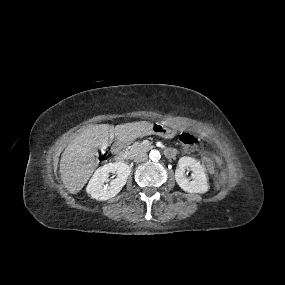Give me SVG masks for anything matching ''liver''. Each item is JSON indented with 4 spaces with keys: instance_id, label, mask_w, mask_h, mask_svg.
Wrapping results in <instances>:
<instances>
[{
    "instance_id": "1",
    "label": "liver",
    "mask_w": 285,
    "mask_h": 285,
    "mask_svg": "<svg viewBox=\"0 0 285 285\" xmlns=\"http://www.w3.org/2000/svg\"><path fill=\"white\" fill-rule=\"evenodd\" d=\"M152 128L148 121H137L113 127L109 124L90 125L76 135L65 148L60 159V178L71 194L85 185L98 161L94 150L106 149L113 138L129 142L145 135Z\"/></svg>"
}]
</instances>
